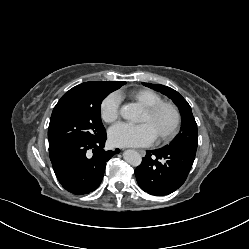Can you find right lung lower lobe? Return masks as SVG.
<instances>
[{
  "mask_svg": "<svg viewBox=\"0 0 249 249\" xmlns=\"http://www.w3.org/2000/svg\"><path fill=\"white\" fill-rule=\"evenodd\" d=\"M106 133L99 138L63 146L50 152V160L60 184L69 192L82 195L101 183L106 162L120 150L104 151Z\"/></svg>",
  "mask_w": 249,
  "mask_h": 249,
  "instance_id": "obj_1",
  "label": "right lung lower lobe"
}]
</instances>
